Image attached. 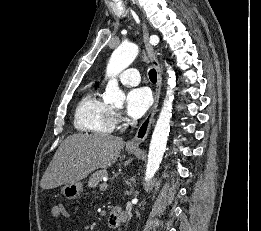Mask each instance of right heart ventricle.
Segmentation results:
<instances>
[{
  "mask_svg": "<svg viewBox=\"0 0 261 231\" xmlns=\"http://www.w3.org/2000/svg\"><path fill=\"white\" fill-rule=\"evenodd\" d=\"M112 108L99 96L97 90L88 91L78 102L74 113V126L78 131L110 134L115 128Z\"/></svg>",
  "mask_w": 261,
  "mask_h": 231,
  "instance_id": "right-heart-ventricle-1",
  "label": "right heart ventricle"
}]
</instances>
